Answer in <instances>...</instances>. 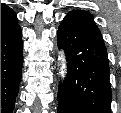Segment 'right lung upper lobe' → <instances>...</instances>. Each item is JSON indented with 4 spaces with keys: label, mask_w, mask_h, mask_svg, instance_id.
I'll list each match as a JSON object with an SVG mask.
<instances>
[{
    "label": "right lung upper lobe",
    "mask_w": 121,
    "mask_h": 113,
    "mask_svg": "<svg viewBox=\"0 0 121 113\" xmlns=\"http://www.w3.org/2000/svg\"><path fill=\"white\" fill-rule=\"evenodd\" d=\"M16 24L17 17L15 12L5 4H1V34L7 32Z\"/></svg>",
    "instance_id": "1"
}]
</instances>
